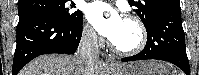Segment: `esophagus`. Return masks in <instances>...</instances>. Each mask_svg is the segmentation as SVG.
Instances as JSON below:
<instances>
[{"instance_id": "esophagus-1", "label": "esophagus", "mask_w": 199, "mask_h": 75, "mask_svg": "<svg viewBox=\"0 0 199 75\" xmlns=\"http://www.w3.org/2000/svg\"><path fill=\"white\" fill-rule=\"evenodd\" d=\"M106 64L108 66H116V60L113 56H107L106 58Z\"/></svg>"}]
</instances>
